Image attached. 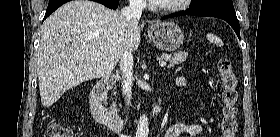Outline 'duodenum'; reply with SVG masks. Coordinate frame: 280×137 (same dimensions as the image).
Wrapping results in <instances>:
<instances>
[{
	"mask_svg": "<svg viewBox=\"0 0 280 137\" xmlns=\"http://www.w3.org/2000/svg\"><path fill=\"white\" fill-rule=\"evenodd\" d=\"M114 84L115 79L112 76L101 78L89 97V109L97 122L115 132L121 133L124 131L127 123L108 111L104 106L107 93L113 88ZM161 113L160 103L156 101L152 105L148 117L151 121H157Z\"/></svg>",
	"mask_w": 280,
	"mask_h": 137,
	"instance_id": "1",
	"label": "duodenum"
}]
</instances>
